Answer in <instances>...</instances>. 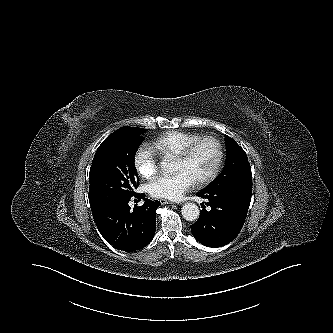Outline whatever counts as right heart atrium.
Instances as JSON below:
<instances>
[{
    "mask_svg": "<svg viewBox=\"0 0 333 333\" xmlns=\"http://www.w3.org/2000/svg\"><path fill=\"white\" fill-rule=\"evenodd\" d=\"M133 165L141 177L150 178L157 172L158 159L150 148L140 146L134 153Z\"/></svg>",
    "mask_w": 333,
    "mask_h": 333,
    "instance_id": "d8ad5b80",
    "label": "right heart atrium"
}]
</instances>
